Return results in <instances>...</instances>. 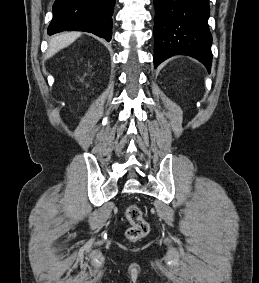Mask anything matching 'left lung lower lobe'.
<instances>
[{"label": "left lung lower lobe", "mask_w": 259, "mask_h": 283, "mask_svg": "<svg viewBox=\"0 0 259 283\" xmlns=\"http://www.w3.org/2000/svg\"><path fill=\"white\" fill-rule=\"evenodd\" d=\"M154 5V67L173 55L184 54L198 59L210 72L209 0H154Z\"/></svg>", "instance_id": "0a47b994"}]
</instances>
